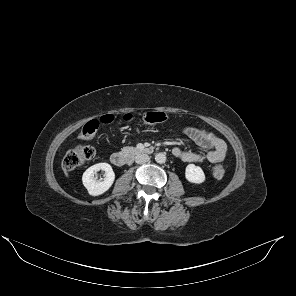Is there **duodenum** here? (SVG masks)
I'll list each match as a JSON object with an SVG mask.
<instances>
[{
    "label": "duodenum",
    "mask_w": 296,
    "mask_h": 296,
    "mask_svg": "<svg viewBox=\"0 0 296 296\" xmlns=\"http://www.w3.org/2000/svg\"><path fill=\"white\" fill-rule=\"evenodd\" d=\"M153 152V148L147 147L139 150H135L129 153H122V152H114L111 154V162L118 167L125 166L129 164L132 159L134 158V155L140 154V153H151Z\"/></svg>",
    "instance_id": "duodenum-1"
}]
</instances>
